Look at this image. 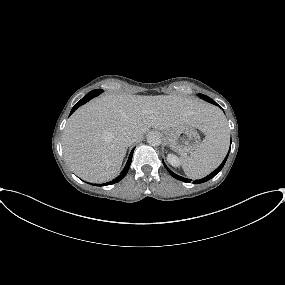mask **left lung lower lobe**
<instances>
[{"instance_id": "1", "label": "left lung lower lobe", "mask_w": 285, "mask_h": 285, "mask_svg": "<svg viewBox=\"0 0 285 285\" xmlns=\"http://www.w3.org/2000/svg\"><path fill=\"white\" fill-rule=\"evenodd\" d=\"M229 154V153H228ZM228 154L225 158V160L222 162V164L216 169L214 170L212 173H210L208 176L204 177L203 179H200V180H196V181H193L194 184H200V183H204L208 180H210L211 178H213L217 173H219L221 171V169L223 168L225 162H226V159L228 157ZM163 164L164 166L166 167V169L169 171V173L176 179L180 180V181H183V182H186V183H189L191 180L190 179H187V178H184V177H181L177 174H175L174 172H172L164 163L163 161Z\"/></svg>"}]
</instances>
